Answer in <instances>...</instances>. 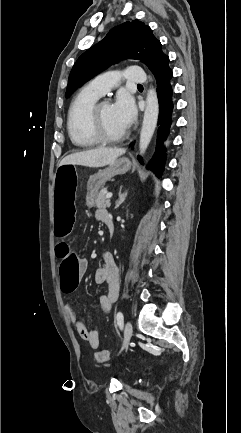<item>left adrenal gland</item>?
<instances>
[{
  "instance_id": "left-adrenal-gland-1",
  "label": "left adrenal gland",
  "mask_w": 241,
  "mask_h": 433,
  "mask_svg": "<svg viewBox=\"0 0 241 433\" xmlns=\"http://www.w3.org/2000/svg\"><path fill=\"white\" fill-rule=\"evenodd\" d=\"M121 190H122V187H120V190L118 193L119 199L116 201L115 209L118 208L125 201V198L127 196V191L125 193H122Z\"/></svg>"
}]
</instances>
